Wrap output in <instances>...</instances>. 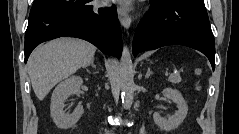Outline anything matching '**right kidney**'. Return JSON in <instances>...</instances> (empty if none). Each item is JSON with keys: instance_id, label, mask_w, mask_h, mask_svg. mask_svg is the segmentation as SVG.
<instances>
[{"instance_id": "right-kidney-1", "label": "right kidney", "mask_w": 239, "mask_h": 134, "mask_svg": "<svg viewBox=\"0 0 239 134\" xmlns=\"http://www.w3.org/2000/svg\"><path fill=\"white\" fill-rule=\"evenodd\" d=\"M82 83L83 80L81 77L72 76L59 83L54 89L50 110L53 121L58 128L68 129L74 126L83 114V106L80 104L70 114H66L64 111L66 99L72 94L79 95Z\"/></svg>"}]
</instances>
